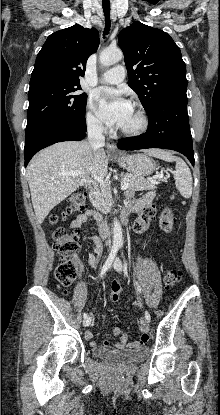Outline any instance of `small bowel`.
Listing matches in <instances>:
<instances>
[{"label": "small bowel", "instance_id": "1", "mask_svg": "<svg viewBox=\"0 0 220 415\" xmlns=\"http://www.w3.org/2000/svg\"><path fill=\"white\" fill-rule=\"evenodd\" d=\"M154 200V193L153 192H148L145 195H143L140 199H138L137 201L133 202L130 198L128 200L127 206H126V212L132 211L136 214H138V218L136 219V221L133 224V232L135 234H140L143 231H145L151 221L153 217H147L145 218L143 216V210L146 206H150L152 204ZM90 218H94L95 220H97L98 222L101 219V216L98 212H96L93 209H88L85 212H83L82 214L78 215L76 217V219L72 222L71 224V229L78 234V230L90 219ZM84 241L90 242L91 243V249L88 253V263L91 267H95L98 262L99 259L102 255L103 252V244L101 239L97 236V235H93V236H87L84 237ZM122 283L120 281H115L112 284V292H117L119 294H121L122 291ZM104 316V314H103ZM140 325V330L142 332V335L140 337L139 340L136 341H129L128 338V334L123 331L120 328H114L112 330V334L114 336H119V340L115 343V348L116 349H124V348H129V349H134V348H138L140 347L142 344H144L147 340L143 339V334L148 333V328L146 323L141 320L139 322ZM94 337V333L92 331H86L85 332V338L87 340L90 341V345L92 347H98V343H96L95 341H92ZM105 347L109 346L108 342L104 343Z\"/></svg>", "mask_w": 220, "mask_h": 415}]
</instances>
